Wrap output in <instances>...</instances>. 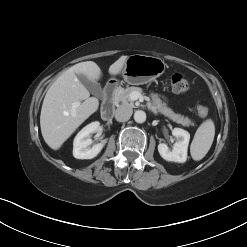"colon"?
<instances>
[{"instance_id": "colon-1", "label": "colon", "mask_w": 247, "mask_h": 247, "mask_svg": "<svg viewBox=\"0 0 247 247\" xmlns=\"http://www.w3.org/2000/svg\"><path fill=\"white\" fill-rule=\"evenodd\" d=\"M170 86L174 92H185L190 88L189 80L181 73H174L170 77ZM198 115L201 118H205L208 115V107L204 104H200L197 107Z\"/></svg>"}]
</instances>
